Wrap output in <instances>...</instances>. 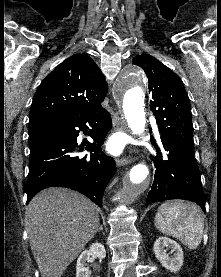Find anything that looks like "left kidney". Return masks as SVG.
<instances>
[{
  "label": "left kidney",
  "mask_w": 221,
  "mask_h": 277,
  "mask_svg": "<svg viewBox=\"0 0 221 277\" xmlns=\"http://www.w3.org/2000/svg\"><path fill=\"white\" fill-rule=\"evenodd\" d=\"M154 254L163 267L171 272H178L183 265V251L181 246L174 240L161 236L154 243ZM171 250L173 256H169L167 253Z\"/></svg>",
  "instance_id": "obj_1"
}]
</instances>
